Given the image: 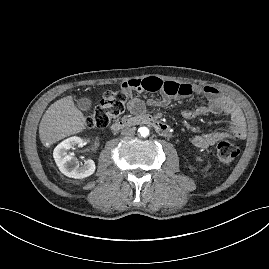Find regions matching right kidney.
<instances>
[{
	"mask_svg": "<svg viewBox=\"0 0 269 269\" xmlns=\"http://www.w3.org/2000/svg\"><path fill=\"white\" fill-rule=\"evenodd\" d=\"M86 140L80 137H70L56 146L53 152L54 160L59 170L66 176L75 179L86 178L95 172L96 166L93 160L89 159L80 164L77 157L69 154L68 151L75 146L82 147Z\"/></svg>",
	"mask_w": 269,
	"mask_h": 269,
	"instance_id": "right-kidney-1",
	"label": "right kidney"
}]
</instances>
